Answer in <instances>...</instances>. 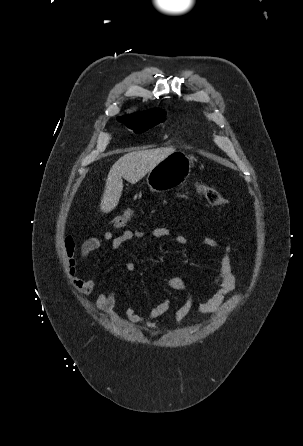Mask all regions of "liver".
I'll return each mask as SVG.
<instances>
[{"label":"liver","mask_w":303,"mask_h":446,"mask_svg":"<svg viewBox=\"0 0 303 446\" xmlns=\"http://www.w3.org/2000/svg\"><path fill=\"white\" fill-rule=\"evenodd\" d=\"M172 147L132 151L122 156L111 167L101 198L100 209L104 213L112 211L118 204L123 190L122 178L135 184L151 169L174 153Z\"/></svg>","instance_id":"1"}]
</instances>
